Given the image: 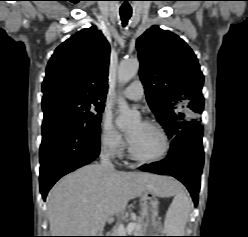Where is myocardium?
Masks as SVG:
<instances>
[{
  "mask_svg": "<svg viewBox=\"0 0 248 237\" xmlns=\"http://www.w3.org/2000/svg\"><path fill=\"white\" fill-rule=\"evenodd\" d=\"M144 124L154 128L161 136L162 140H163V149L162 151L156 155V156H153V157H143L141 155H139L132 147L131 143H129V154L130 156L136 160V161H139V162H142V163H154V162H157V161H160L162 159H164L169 151H170V148H171V143H170V139L168 137V134L167 132L165 131V129L157 122L153 121V120H144L143 121Z\"/></svg>",
  "mask_w": 248,
  "mask_h": 237,
  "instance_id": "1",
  "label": "myocardium"
}]
</instances>
